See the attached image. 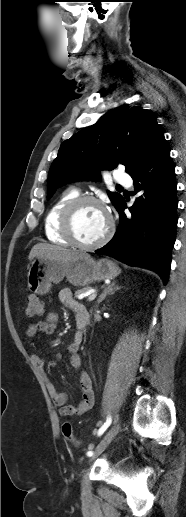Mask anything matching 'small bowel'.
I'll use <instances>...</instances> for the list:
<instances>
[{
    "instance_id": "c3829d8e",
    "label": "small bowel",
    "mask_w": 186,
    "mask_h": 517,
    "mask_svg": "<svg viewBox=\"0 0 186 517\" xmlns=\"http://www.w3.org/2000/svg\"><path fill=\"white\" fill-rule=\"evenodd\" d=\"M59 300L65 307L73 311L76 316L79 313V311L86 309L83 303L75 301L73 299L72 292L69 289H63L59 292ZM56 327V317L53 314H48L45 317V319L29 324L26 329V335L29 337H33L39 332L44 334H53L56 330ZM82 341V332L76 331L73 335L72 342L68 348L70 354V364L75 371L80 372V385L82 397L77 405L67 404V393L62 390H58L47 378V376L44 373L46 359L36 353H33L31 355V360L43 374L47 391L50 394L54 404L59 407V413L62 416H80L88 410H90L94 405V391L92 387V380L90 375L87 372L83 371L82 359L79 354ZM54 357L59 358L60 356L56 354L54 355Z\"/></svg>"
}]
</instances>
